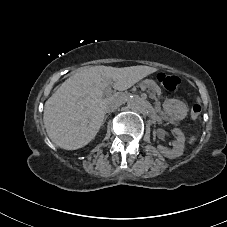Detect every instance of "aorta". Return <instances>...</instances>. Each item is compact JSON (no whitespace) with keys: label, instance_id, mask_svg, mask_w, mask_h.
<instances>
[{"label":"aorta","instance_id":"aorta-1","mask_svg":"<svg viewBox=\"0 0 227 227\" xmlns=\"http://www.w3.org/2000/svg\"><path fill=\"white\" fill-rule=\"evenodd\" d=\"M129 105L131 109L137 113H146L149 110V103L140 97H135L130 100Z\"/></svg>","mask_w":227,"mask_h":227}]
</instances>
